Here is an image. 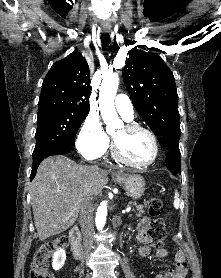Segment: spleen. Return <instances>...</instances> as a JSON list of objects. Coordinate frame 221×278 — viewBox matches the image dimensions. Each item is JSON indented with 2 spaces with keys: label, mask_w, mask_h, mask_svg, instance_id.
<instances>
[{
  "label": "spleen",
  "mask_w": 221,
  "mask_h": 278,
  "mask_svg": "<svg viewBox=\"0 0 221 278\" xmlns=\"http://www.w3.org/2000/svg\"><path fill=\"white\" fill-rule=\"evenodd\" d=\"M173 204H174V207L176 209H179V207H180V199H179V194L177 192H175Z\"/></svg>",
  "instance_id": "obj_1"
}]
</instances>
